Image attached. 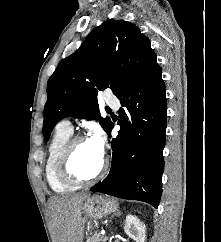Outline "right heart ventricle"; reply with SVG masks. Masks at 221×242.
Listing matches in <instances>:
<instances>
[{
	"mask_svg": "<svg viewBox=\"0 0 221 242\" xmlns=\"http://www.w3.org/2000/svg\"><path fill=\"white\" fill-rule=\"evenodd\" d=\"M70 137L71 133L57 128L47 148L44 165L45 177L50 189L56 193H66L75 188V185L66 183L58 174L59 159Z\"/></svg>",
	"mask_w": 221,
	"mask_h": 242,
	"instance_id": "obj_1",
	"label": "right heart ventricle"
}]
</instances>
